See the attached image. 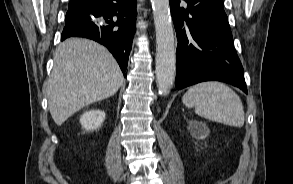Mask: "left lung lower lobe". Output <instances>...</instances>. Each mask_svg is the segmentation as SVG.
<instances>
[{
    "instance_id": "0a47b994",
    "label": "left lung lower lobe",
    "mask_w": 293,
    "mask_h": 184,
    "mask_svg": "<svg viewBox=\"0 0 293 184\" xmlns=\"http://www.w3.org/2000/svg\"><path fill=\"white\" fill-rule=\"evenodd\" d=\"M170 0L178 45L175 86L217 80L247 94L223 0Z\"/></svg>"
}]
</instances>
